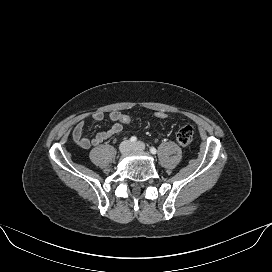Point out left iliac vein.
Instances as JSON below:
<instances>
[{
	"instance_id": "obj_1",
	"label": "left iliac vein",
	"mask_w": 272,
	"mask_h": 272,
	"mask_svg": "<svg viewBox=\"0 0 272 272\" xmlns=\"http://www.w3.org/2000/svg\"><path fill=\"white\" fill-rule=\"evenodd\" d=\"M132 149L137 151H143L145 149V144L143 142L138 141L132 145Z\"/></svg>"
}]
</instances>
